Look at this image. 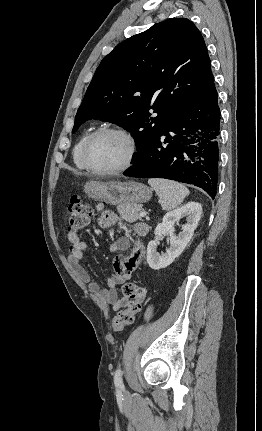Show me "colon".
<instances>
[{
    "label": "colon",
    "mask_w": 262,
    "mask_h": 431,
    "mask_svg": "<svg viewBox=\"0 0 262 431\" xmlns=\"http://www.w3.org/2000/svg\"><path fill=\"white\" fill-rule=\"evenodd\" d=\"M91 216L92 208L80 196L73 195L68 208V231L74 234L83 230L89 224ZM121 292L128 299V304L112 319L111 326L114 332H120L134 322L135 316L142 310L146 296L145 288L131 280L122 283Z\"/></svg>",
    "instance_id": "1"
}]
</instances>
